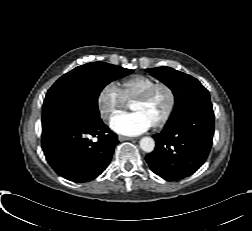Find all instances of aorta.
Instances as JSON below:
<instances>
[{
	"label": "aorta",
	"mask_w": 252,
	"mask_h": 231,
	"mask_svg": "<svg viewBox=\"0 0 252 231\" xmlns=\"http://www.w3.org/2000/svg\"><path fill=\"white\" fill-rule=\"evenodd\" d=\"M140 148L147 153H151L155 148V141L151 137H143L140 140Z\"/></svg>",
	"instance_id": "1"
}]
</instances>
